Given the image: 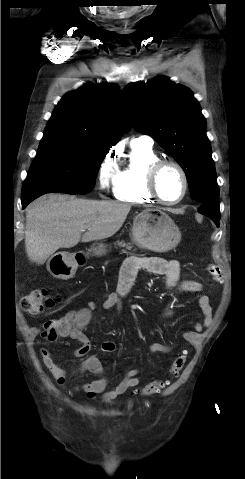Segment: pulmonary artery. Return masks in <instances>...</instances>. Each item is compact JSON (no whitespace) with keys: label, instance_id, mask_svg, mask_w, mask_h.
<instances>
[{"label":"pulmonary artery","instance_id":"e3ab8cb5","mask_svg":"<svg viewBox=\"0 0 245 479\" xmlns=\"http://www.w3.org/2000/svg\"><path fill=\"white\" fill-rule=\"evenodd\" d=\"M133 141L140 142L142 144L149 145V146L153 145V139L149 136H140L134 139Z\"/></svg>","mask_w":245,"mask_h":479}]
</instances>
